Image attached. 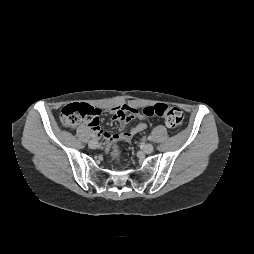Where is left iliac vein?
Here are the masks:
<instances>
[{"label": "left iliac vein", "mask_w": 254, "mask_h": 254, "mask_svg": "<svg viewBox=\"0 0 254 254\" xmlns=\"http://www.w3.org/2000/svg\"><path fill=\"white\" fill-rule=\"evenodd\" d=\"M154 150V147L151 143H147L143 146V151L146 153V154H150L152 153Z\"/></svg>", "instance_id": "left-iliac-vein-1"}]
</instances>
